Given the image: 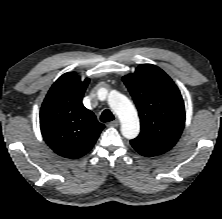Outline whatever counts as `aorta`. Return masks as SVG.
<instances>
[{
	"label": "aorta",
	"instance_id": "1",
	"mask_svg": "<svg viewBox=\"0 0 222 219\" xmlns=\"http://www.w3.org/2000/svg\"><path fill=\"white\" fill-rule=\"evenodd\" d=\"M108 103L121 122V133L127 139H134L140 132V122L132 102L118 91H111Z\"/></svg>",
	"mask_w": 222,
	"mask_h": 219
}]
</instances>
